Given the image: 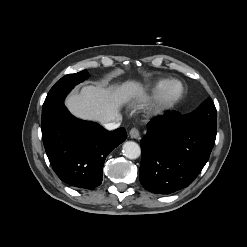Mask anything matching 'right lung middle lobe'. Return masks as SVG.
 <instances>
[{"label": "right lung middle lobe", "mask_w": 247, "mask_h": 247, "mask_svg": "<svg viewBox=\"0 0 247 247\" xmlns=\"http://www.w3.org/2000/svg\"><path fill=\"white\" fill-rule=\"evenodd\" d=\"M87 78L88 72L86 70L62 77L49 91L43 104L42 113L64 104L66 95L74 88L75 85L86 80Z\"/></svg>", "instance_id": "obj_1"}]
</instances>
